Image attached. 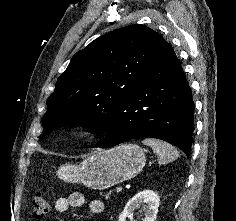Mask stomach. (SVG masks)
Here are the masks:
<instances>
[{
    "label": "stomach",
    "instance_id": "1",
    "mask_svg": "<svg viewBox=\"0 0 236 221\" xmlns=\"http://www.w3.org/2000/svg\"><path fill=\"white\" fill-rule=\"evenodd\" d=\"M144 150L136 144H123L87 157L80 164L58 168L60 179L103 190L137 176L145 166Z\"/></svg>",
    "mask_w": 236,
    "mask_h": 221
}]
</instances>
